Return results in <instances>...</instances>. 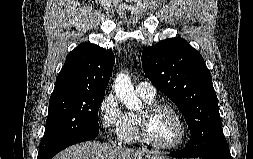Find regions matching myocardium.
Returning <instances> with one entry per match:
<instances>
[{"instance_id":"myocardium-1","label":"myocardium","mask_w":253,"mask_h":159,"mask_svg":"<svg viewBox=\"0 0 253 159\" xmlns=\"http://www.w3.org/2000/svg\"><path fill=\"white\" fill-rule=\"evenodd\" d=\"M161 109H167L173 112L178 118V121L181 126V131L178 138L176 139L175 142L169 145H162L153 141L150 135V131H149V121H150L151 116L156 111L161 110ZM137 126H138L139 141L142 142L146 146L152 147L160 151H170V150H174L180 147L185 141L187 133H188L187 122L184 116L182 115V113L179 111V109H177L174 105H171L169 103H163V102H152V103L146 104L143 110L138 114Z\"/></svg>"}]
</instances>
